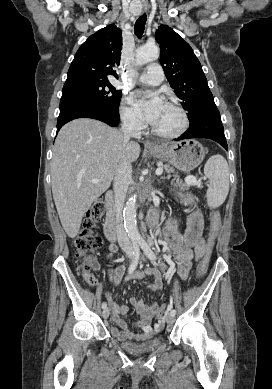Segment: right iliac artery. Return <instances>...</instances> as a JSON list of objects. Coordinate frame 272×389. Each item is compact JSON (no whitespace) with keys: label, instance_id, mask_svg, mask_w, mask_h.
I'll use <instances>...</instances> for the list:
<instances>
[{"label":"right iliac artery","instance_id":"82829eb1","mask_svg":"<svg viewBox=\"0 0 272 389\" xmlns=\"http://www.w3.org/2000/svg\"><path fill=\"white\" fill-rule=\"evenodd\" d=\"M133 247H134V259L128 268L129 275H131L135 271V269L138 266V262H139L140 251H139V246H138L137 242L133 243ZM126 279H129V277H127ZM106 307H107V304L105 302H103L102 308L105 309Z\"/></svg>","mask_w":272,"mask_h":389}]
</instances>
